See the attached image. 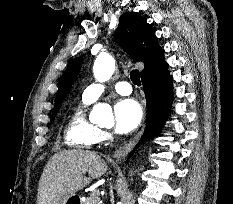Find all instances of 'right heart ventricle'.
<instances>
[{
    "mask_svg": "<svg viewBox=\"0 0 233 204\" xmlns=\"http://www.w3.org/2000/svg\"><path fill=\"white\" fill-rule=\"evenodd\" d=\"M84 97L72 111L65 129V142L74 148H89L100 142L101 130L91 123L86 116L91 104Z\"/></svg>",
    "mask_w": 233,
    "mask_h": 204,
    "instance_id": "1",
    "label": "right heart ventricle"
}]
</instances>
